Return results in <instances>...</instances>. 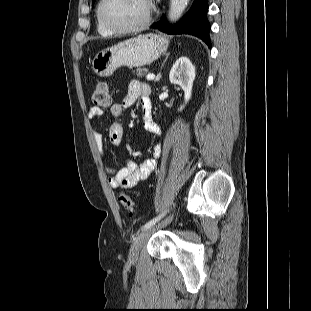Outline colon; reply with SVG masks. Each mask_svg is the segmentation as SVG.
Instances as JSON below:
<instances>
[{"label":"colon","mask_w":311,"mask_h":311,"mask_svg":"<svg viewBox=\"0 0 311 311\" xmlns=\"http://www.w3.org/2000/svg\"><path fill=\"white\" fill-rule=\"evenodd\" d=\"M110 102L111 97L108 86L104 82H97L92 93V103L94 107L105 108L110 105ZM119 202L129 214L134 213L135 203L131 197L126 194H120Z\"/></svg>","instance_id":"obj_1"}]
</instances>
